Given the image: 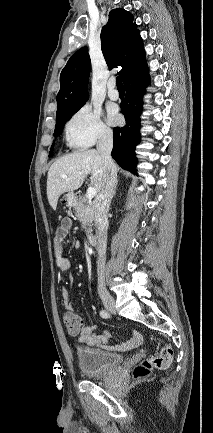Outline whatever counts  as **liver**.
I'll use <instances>...</instances> for the list:
<instances>
[{
	"mask_svg": "<svg viewBox=\"0 0 213 433\" xmlns=\"http://www.w3.org/2000/svg\"><path fill=\"white\" fill-rule=\"evenodd\" d=\"M115 170H118L116 165ZM88 174H91L92 187L99 193L103 183L104 163L95 149L75 151L57 159L47 175V198L50 206L56 209L60 195L78 189Z\"/></svg>",
	"mask_w": 213,
	"mask_h": 433,
	"instance_id": "1",
	"label": "liver"
}]
</instances>
